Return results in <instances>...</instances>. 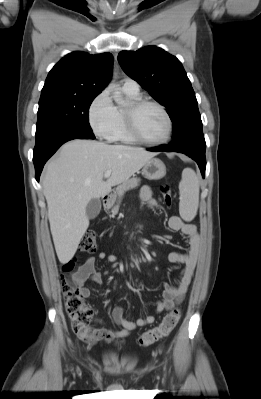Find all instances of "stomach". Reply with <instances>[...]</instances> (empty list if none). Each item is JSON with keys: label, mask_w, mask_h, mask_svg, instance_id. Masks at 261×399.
I'll return each mask as SVG.
<instances>
[{"label": "stomach", "mask_w": 261, "mask_h": 399, "mask_svg": "<svg viewBox=\"0 0 261 399\" xmlns=\"http://www.w3.org/2000/svg\"><path fill=\"white\" fill-rule=\"evenodd\" d=\"M143 175L150 180H159L166 175V166L158 158L150 159L142 169ZM115 202V196L111 195L107 204L111 206Z\"/></svg>", "instance_id": "1"}]
</instances>
